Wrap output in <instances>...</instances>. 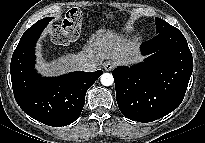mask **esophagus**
<instances>
[{"instance_id": "esophagus-1", "label": "esophagus", "mask_w": 205, "mask_h": 143, "mask_svg": "<svg viewBox=\"0 0 205 143\" xmlns=\"http://www.w3.org/2000/svg\"><path fill=\"white\" fill-rule=\"evenodd\" d=\"M115 64L113 62H106L104 63L103 67L106 71H111L114 68Z\"/></svg>"}]
</instances>
